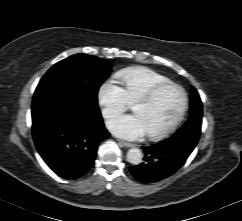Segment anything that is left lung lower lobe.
Listing matches in <instances>:
<instances>
[{
    "label": "left lung lower lobe",
    "mask_w": 242,
    "mask_h": 221,
    "mask_svg": "<svg viewBox=\"0 0 242 221\" xmlns=\"http://www.w3.org/2000/svg\"><path fill=\"white\" fill-rule=\"evenodd\" d=\"M200 134L194 131L176 132L171 137L143 147L144 162L130 168L132 176L142 182L151 183L174 174L187 160Z\"/></svg>",
    "instance_id": "0a47b994"
}]
</instances>
